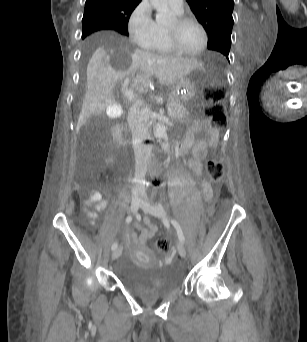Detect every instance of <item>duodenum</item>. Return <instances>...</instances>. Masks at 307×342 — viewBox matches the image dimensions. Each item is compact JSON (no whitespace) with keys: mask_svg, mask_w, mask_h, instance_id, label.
<instances>
[{"mask_svg":"<svg viewBox=\"0 0 307 342\" xmlns=\"http://www.w3.org/2000/svg\"><path fill=\"white\" fill-rule=\"evenodd\" d=\"M113 138L117 142L119 146H124L126 144L125 138H124V133H123V128L121 125H116L113 128Z\"/></svg>","mask_w":307,"mask_h":342,"instance_id":"410a0bca","label":"duodenum"}]
</instances>
